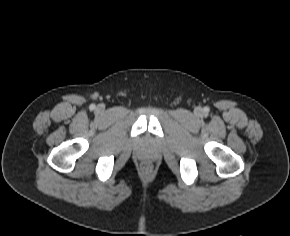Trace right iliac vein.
Returning a JSON list of instances; mask_svg holds the SVG:
<instances>
[{"instance_id":"obj_1","label":"right iliac vein","mask_w":290,"mask_h":236,"mask_svg":"<svg viewBox=\"0 0 290 236\" xmlns=\"http://www.w3.org/2000/svg\"><path fill=\"white\" fill-rule=\"evenodd\" d=\"M103 110H104L103 106L99 105V106L97 107V111H98V112H102Z\"/></svg>"}]
</instances>
